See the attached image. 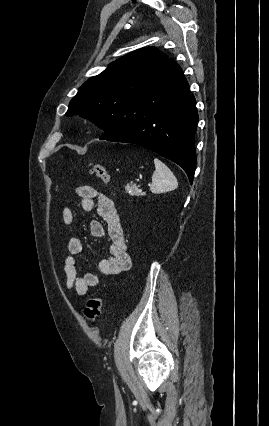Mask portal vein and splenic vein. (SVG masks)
<instances>
[{"label": "portal vein and splenic vein", "instance_id": "portal-vein-and-splenic-vein-1", "mask_svg": "<svg viewBox=\"0 0 269 426\" xmlns=\"http://www.w3.org/2000/svg\"><path fill=\"white\" fill-rule=\"evenodd\" d=\"M139 192H142V190H141V189H139Z\"/></svg>", "mask_w": 269, "mask_h": 426}]
</instances>
